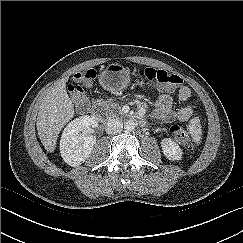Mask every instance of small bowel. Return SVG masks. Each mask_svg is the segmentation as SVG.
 Listing matches in <instances>:
<instances>
[{"label":"small bowel","mask_w":243,"mask_h":243,"mask_svg":"<svg viewBox=\"0 0 243 243\" xmlns=\"http://www.w3.org/2000/svg\"><path fill=\"white\" fill-rule=\"evenodd\" d=\"M191 96V91L187 86H182L178 91V100L180 102L187 101ZM192 109L190 106H182L173 108V100L170 94H161L154 106V116L164 122L188 121L192 117Z\"/></svg>","instance_id":"c3829d8e"}]
</instances>
